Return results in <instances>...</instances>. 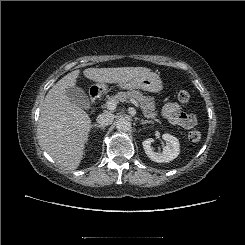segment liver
Here are the masks:
<instances>
[{
    "label": "liver",
    "mask_w": 245,
    "mask_h": 245,
    "mask_svg": "<svg viewBox=\"0 0 245 245\" xmlns=\"http://www.w3.org/2000/svg\"><path fill=\"white\" fill-rule=\"evenodd\" d=\"M146 67L87 68L86 78L99 83H122L149 73ZM80 70L61 78L48 91L38 121L41 146L61 167L75 170L83 158L91 130L89 115L66 95V89L76 85Z\"/></svg>",
    "instance_id": "obj_1"
}]
</instances>
